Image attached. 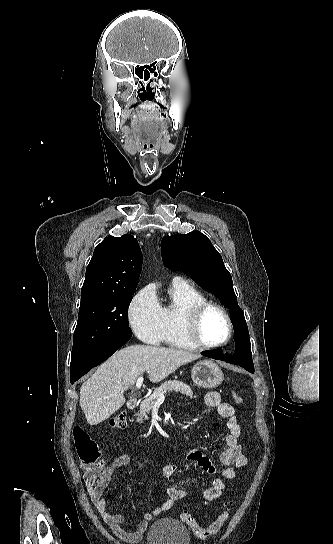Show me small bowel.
Instances as JSON below:
<instances>
[{"instance_id":"c3829d8e","label":"small bowel","mask_w":333,"mask_h":544,"mask_svg":"<svg viewBox=\"0 0 333 544\" xmlns=\"http://www.w3.org/2000/svg\"><path fill=\"white\" fill-rule=\"evenodd\" d=\"M206 404L217 410L218 414L226 419L228 433L225 436L226 448L220 454V461L225 466L222 471L223 478H215L212 485L203 492L202 503L208 504L219 498L226 487L225 480H233L236 477V469H244L248 464L247 456L239 443L241 436V427L235 416L234 408L231 404L224 402L217 391L208 392L205 396ZM187 461L199 467L209 474L216 471L213 462L198 450H190L186 456ZM130 457L122 454L113 459L106 466V480L104 484L96 489L90 490V498L94 504L101 519L109 526L111 531L121 540L129 543L139 542L147 530L148 523L155 517L170 510L175 502L185 498L188 495L187 490L181 487L171 485L170 479L177 473L179 465L176 463L167 464L160 468L161 477L168 483L165 492L167 498L152 511L144 512L143 519L139 522L135 531H126L122 525L125 517L122 514H112L107 510L105 490L111 480L114 471L120 467L129 465Z\"/></svg>"}]
</instances>
